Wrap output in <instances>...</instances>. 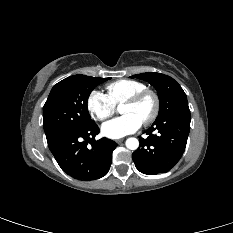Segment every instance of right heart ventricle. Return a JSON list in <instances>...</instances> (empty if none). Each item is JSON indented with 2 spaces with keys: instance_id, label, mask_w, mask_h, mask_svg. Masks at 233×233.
I'll list each match as a JSON object with an SVG mask.
<instances>
[{
  "instance_id": "e07e8e85",
  "label": "right heart ventricle",
  "mask_w": 233,
  "mask_h": 233,
  "mask_svg": "<svg viewBox=\"0 0 233 233\" xmlns=\"http://www.w3.org/2000/svg\"><path fill=\"white\" fill-rule=\"evenodd\" d=\"M146 88V85L142 82L122 79L114 81L106 86V96L114 106H118L132 95Z\"/></svg>"
}]
</instances>
